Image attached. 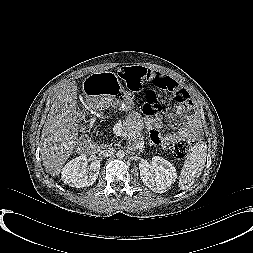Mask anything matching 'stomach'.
Instances as JSON below:
<instances>
[{
	"label": "stomach",
	"mask_w": 253,
	"mask_h": 253,
	"mask_svg": "<svg viewBox=\"0 0 253 253\" xmlns=\"http://www.w3.org/2000/svg\"><path fill=\"white\" fill-rule=\"evenodd\" d=\"M83 93L87 101L95 107L112 106L122 111H130L133 108L131 94L122 88L118 77L113 73L88 76L83 82Z\"/></svg>",
	"instance_id": "obj_1"
}]
</instances>
